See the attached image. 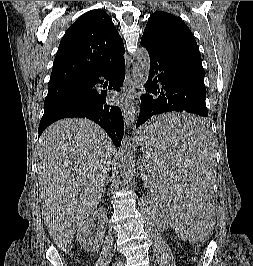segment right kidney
Returning <instances> with one entry per match:
<instances>
[{"instance_id": "right-kidney-1", "label": "right kidney", "mask_w": 253, "mask_h": 266, "mask_svg": "<svg viewBox=\"0 0 253 266\" xmlns=\"http://www.w3.org/2000/svg\"><path fill=\"white\" fill-rule=\"evenodd\" d=\"M94 219L87 218L83 223L78 227L77 239L80 244V247L87 252H95L98 250L103 243L104 233L101 235L97 234L93 236L94 229Z\"/></svg>"}]
</instances>
